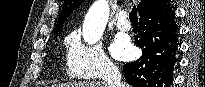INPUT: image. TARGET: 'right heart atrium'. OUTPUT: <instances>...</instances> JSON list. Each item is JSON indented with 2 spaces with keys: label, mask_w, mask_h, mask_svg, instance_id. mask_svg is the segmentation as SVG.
Returning a JSON list of instances; mask_svg holds the SVG:
<instances>
[{
  "label": "right heart atrium",
  "mask_w": 205,
  "mask_h": 87,
  "mask_svg": "<svg viewBox=\"0 0 205 87\" xmlns=\"http://www.w3.org/2000/svg\"><path fill=\"white\" fill-rule=\"evenodd\" d=\"M66 71L73 78L96 79L113 75L117 67L101 43H87L76 34L68 41Z\"/></svg>",
  "instance_id": "obj_1"
}]
</instances>
